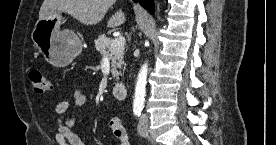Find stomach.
<instances>
[{
  "mask_svg": "<svg viewBox=\"0 0 276 145\" xmlns=\"http://www.w3.org/2000/svg\"><path fill=\"white\" fill-rule=\"evenodd\" d=\"M60 12L39 19L31 33L34 45L56 67L69 65L82 51V41L72 30H61Z\"/></svg>",
  "mask_w": 276,
  "mask_h": 145,
  "instance_id": "1",
  "label": "stomach"
}]
</instances>
